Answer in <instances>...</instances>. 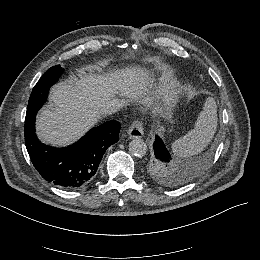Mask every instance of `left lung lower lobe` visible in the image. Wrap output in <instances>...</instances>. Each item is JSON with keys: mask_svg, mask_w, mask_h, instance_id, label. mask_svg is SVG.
I'll list each match as a JSON object with an SVG mask.
<instances>
[{"mask_svg": "<svg viewBox=\"0 0 260 260\" xmlns=\"http://www.w3.org/2000/svg\"><path fill=\"white\" fill-rule=\"evenodd\" d=\"M154 154L156 157L163 159V160H170L171 155L169 154L168 150L166 149L163 141L156 136L155 137V142H154Z\"/></svg>", "mask_w": 260, "mask_h": 260, "instance_id": "1", "label": "left lung lower lobe"}]
</instances>
